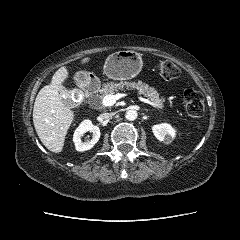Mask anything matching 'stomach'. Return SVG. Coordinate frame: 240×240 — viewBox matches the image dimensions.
<instances>
[{"mask_svg":"<svg viewBox=\"0 0 240 240\" xmlns=\"http://www.w3.org/2000/svg\"><path fill=\"white\" fill-rule=\"evenodd\" d=\"M143 66L141 56L131 50H121L110 55L104 65V74L113 80H128L137 76ZM86 78L89 73L81 72Z\"/></svg>","mask_w":240,"mask_h":240,"instance_id":"stomach-1","label":"stomach"}]
</instances>
